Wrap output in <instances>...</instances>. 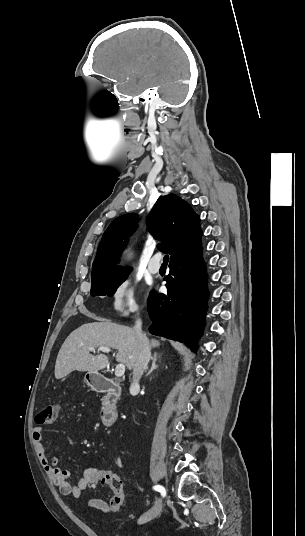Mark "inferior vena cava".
Returning a JSON list of instances; mask_svg holds the SVG:
<instances>
[{"label": "inferior vena cava", "mask_w": 305, "mask_h": 536, "mask_svg": "<svg viewBox=\"0 0 305 536\" xmlns=\"http://www.w3.org/2000/svg\"><path fill=\"white\" fill-rule=\"evenodd\" d=\"M135 330L140 338L142 340V346L140 348V354L136 360L135 368H133V384H131L130 390H139V380L144 372V370H147V364L150 360L151 352H150V346L149 342L142 334V320L138 318L135 322Z\"/></svg>", "instance_id": "602c4592"}]
</instances>
